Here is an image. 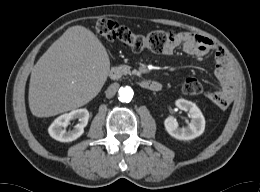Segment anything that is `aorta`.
<instances>
[{
    "mask_svg": "<svg viewBox=\"0 0 260 192\" xmlns=\"http://www.w3.org/2000/svg\"><path fill=\"white\" fill-rule=\"evenodd\" d=\"M118 94H119V100L121 102L128 103L132 100L134 93H133V90L130 87L126 86V87H121L119 89Z\"/></svg>",
    "mask_w": 260,
    "mask_h": 192,
    "instance_id": "obj_1",
    "label": "aorta"
}]
</instances>
